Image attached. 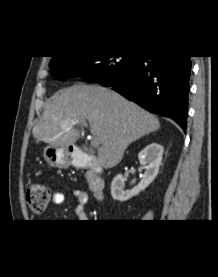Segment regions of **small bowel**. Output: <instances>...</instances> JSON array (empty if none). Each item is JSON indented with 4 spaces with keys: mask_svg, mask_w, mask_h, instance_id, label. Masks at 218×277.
<instances>
[{
    "mask_svg": "<svg viewBox=\"0 0 218 277\" xmlns=\"http://www.w3.org/2000/svg\"><path fill=\"white\" fill-rule=\"evenodd\" d=\"M67 197L76 202L75 213L78 219L81 221L86 220V205L88 203V195L84 191L78 189H70L66 193L55 192L52 195V203L57 206L62 205Z\"/></svg>",
    "mask_w": 218,
    "mask_h": 277,
    "instance_id": "1",
    "label": "small bowel"
}]
</instances>
